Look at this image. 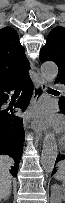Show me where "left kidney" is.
<instances>
[{"label":"left kidney","instance_id":"1","mask_svg":"<svg viewBox=\"0 0 65 203\" xmlns=\"http://www.w3.org/2000/svg\"><path fill=\"white\" fill-rule=\"evenodd\" d=\"M56 188H58V192L56 193L58 201H53L51 203H61L62 201L65 200V189L59 186H56Z\"/></svg>","mask_w":65,"mask_h":203}]
</instances>
